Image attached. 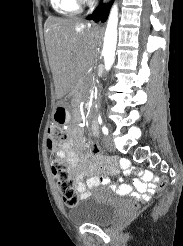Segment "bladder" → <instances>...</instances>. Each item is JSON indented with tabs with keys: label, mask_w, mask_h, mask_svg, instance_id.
Returning <instances> with one entry per match:
<instances>
[{
	"label": "bladder",
	"mask_w": 183,
	"mask_h": 246,
	"mask_svg": "<svg viewBox=\"0 0 183 246\" xmlns=\"http://www.w3.org/2000/svg\"><path fill=\"white\" fill-rule=\"evenodd\" d=\"M116 212L117 200L112 192L105 187H97L69 212V217L76 224L107 225Z\"/></svg>",
	"instance_id": "31cf9c89"
}]
</instances>
